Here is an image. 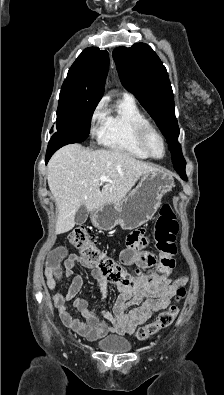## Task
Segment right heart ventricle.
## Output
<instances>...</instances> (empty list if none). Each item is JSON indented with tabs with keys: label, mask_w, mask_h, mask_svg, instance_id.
Listing matches in <instances>:
<instances>
[{
	"label": "right heart ventricle",
	"mask_w": 224,
	"mask_h": 395,
	"mask_svg": "<svg viewBox=\"0 0 224 395\" xmlns=\"http://www.w3.org/2000/svg\"><path fill=\"white\" fill-rule=\"evenodd\" d=\"M145 120L135 101L123 97L117 102L114 111L107 114L98 136L99 142L126 155L147 159L149 156L139 146L135 136L136 125Z\"/></svg>",
	"instance_id": "obj_1"
}]
</instances>
